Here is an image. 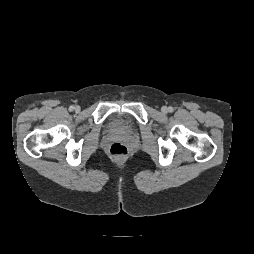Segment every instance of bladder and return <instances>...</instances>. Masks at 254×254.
I'll list each match as a JSON object with an SVG mask.
<instances>
[{
	"label": "bladder",
	"mask_w": 254,
	"mask_h": 254,
	"mask_svg": "<svg viewBox=\"0 0 254 254\" xmlns=\"http://www.w3.org/2000/svg\"><path fill=\"white\" fill-rule=\"evenodd\" d=\"M111 129L113 132L125 135H130L133 133L132 126L120 119H116L112 122Z\"/></svg>",
	"instance_id": "bladder-1"
}]
</instances>
